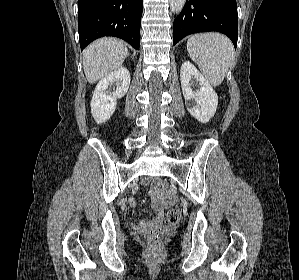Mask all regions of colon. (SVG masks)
Returning <instances> with one entry per match:
<instances>
[{"mask_svg":"<svg viewBox=\"0 0 299 280\" xmlns=\"http://www.w3.org/2000/svg\"><path fill=\"white\" fill-rule=\"evenodd\" d=\"M161 188L165 189V184L161 183ZM181 219V212L176 208H168L156 219L155 226L148 232V240L152 246H156L159 240L160 231L177 224Z\"/></svg>","mask_w":299,"mask_h":280,"instance_id":"obj_1","label":"colon"}]
</instances>
